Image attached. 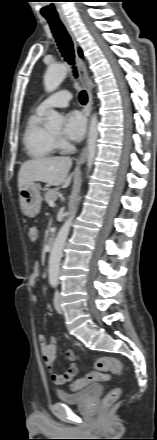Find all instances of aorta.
I'll return each instance as SVG.
<instances>
[{
    "label": "aorta",
    "instance_id": "1",
    "mask_svg": "<svg viewBox=\"0 0 157 440\" xmlns=\"http://www.w3.org/2000/svg\"><path fill=\"white\" fill-rule=\"evenodd\" d=\"M68 72V66L66 64H56L50 65L44 76V87L45 90L50 93L55 91L58 86L62 83L66 74ZM63 122L62 116L55 110H50L48 112V127L51 129H60ZM98 139V119L97 114H93L89 124V132L87 139V167L90 171L95 155H96V145ZM80 199V198H79ZM77 207H75L70 213L68 219L65 221L61 229L59 230L57 237L54 241L50 257H49V280L50 282H57L60 270V261L63 254V248L65 246L72 221L75 217Z\"/></svg>",
    "mask_w": 157,
    "mask_h": 440
}]
</instances>
